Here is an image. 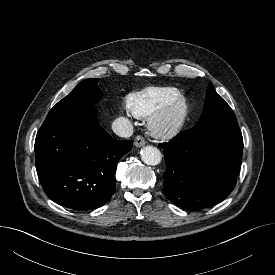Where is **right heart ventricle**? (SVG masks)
Here are the masks:
<instances>
[{
    "label": "right heart ventricle",
    "mask_w": 275,
    "mask_h": 275,
    "mask_svg": "<svg viewBox=\"0 0 275 275\" xmlns=\"http://www.w3.org/2000/svg\"><path fill=\"white\" fill-rule=\"evenodd\" d=\"M180 95L176 87H147L128 98V108L135 116L146 118Z\"/></svg>",
    "instance_id": "right-heart-ventricle-1"
}]
</instances>
